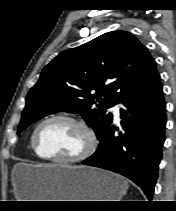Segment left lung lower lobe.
Instances as JSON below:
<instances>
[{
    "instance_id": "1",
    "label": "left lung lower lobe",
    "mask_w": 176,
    "mask_h": 211,
    "mask_svg": "<svg viewBox=\"0 0 176 211\" xmlns=\"http://www.w3.org/2000/svg\"><path fill=\"white\" fill-rule=\"evenodd\" d=\"M120 110L122 131L107 126L97 151L82 162L122 174L152 199L158 165L165 141L166 104L159 78L146 88L126 97Z\"/></svg>"
}]
</instances>
